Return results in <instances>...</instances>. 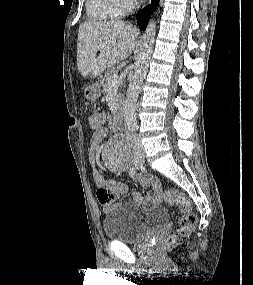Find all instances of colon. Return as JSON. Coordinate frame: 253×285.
I'll return each mask as SVG.
<instances>
[{"instance_id": "obj_1", "label": "colon", "mask_w": 253, "mask_h": 285, "mask_svg": "<svg viewBox=\"0 0 253 285\" xmlns=\"http://www.w3.org/2000/svg\"><path fill=\"white\" fill-rule=\"evenodd\" d=\"M88 119L91 127H98L102 123L101 118L97 113H90ZM97 197L102 204H109L116 199L117 194L111 188L101 187L97 191ZM165 200L170 205L179 206L181 210L178 234L170 235L165 243L166 246L169 247L176 242L178 235H189L195 228L197 219L193 212L190 200L182 191L178 189H168L165 192Z\"/></svg>"}]
</instances>
